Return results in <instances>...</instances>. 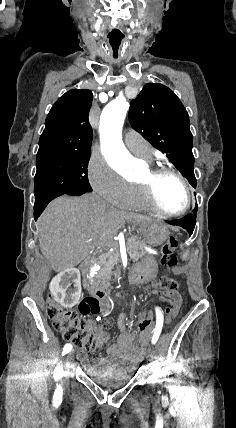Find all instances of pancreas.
I'll list each match as a JSON object with an SVG mask.
<instances>
[{"instance_id": "cf45deb5", "label": "pancreas", "mask_w": 236, "mask_h": 428, "mask_svg": "<svg viewBox=\"0 0 236 428\" xmlns=\"http://www.w3.org/2000/svg\"><path fill=\"white\" fill-rule=\"evenodd\" d=\"M128 254L133 260V262H138L140 258H143L147 252L144 250V242L142 240H138V238H128L126 242ZM119 250H115V254L111 252V254H102V256H99V264L102 266L99 276V280H101V286L103 288H110L111 284L109 280H111V270H113L114 266H117L120 262V256L118 254Z\"/></svg>"}]
</instances>
